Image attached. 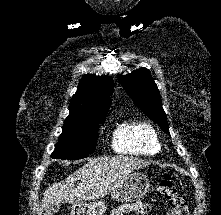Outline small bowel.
<instances>
[{"mask_svg":"<svg viewBox=\"0 0 221 215\" xmlns=\"http://www.w3.org/2000/svg\"><path fill=\"white\" fill-rule=\"evenodd\" d=\"M151 211V205L142 202H136L131 204H124L115 210L111 215H124L125 213H135L140 215H147Z\"/></svg>","mask_w":221,"mask_h":215,"instance_id":"c3829d8e","label":"small bowel"}]
</instances>
